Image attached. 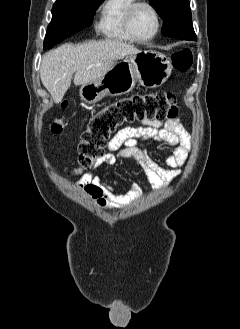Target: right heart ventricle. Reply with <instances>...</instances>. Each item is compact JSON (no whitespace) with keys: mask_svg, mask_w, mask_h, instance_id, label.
Wrapping results in <instances>:
<instances>
[{"mask_svg":"<svg viewBox=\"0 0 240 329\" xmlns=\"http://www.w3.org/2000/svg\"><path fill=\"white\" fill-rule=\"evenodd\" d=\"M135 0H106L101 7L97 30L117 42H132L125 29V16Z\"/></svg>","mask_w":240,"mask_h":329,"instance_id":"1","label":"right heart ventricle"}]
</instances>
